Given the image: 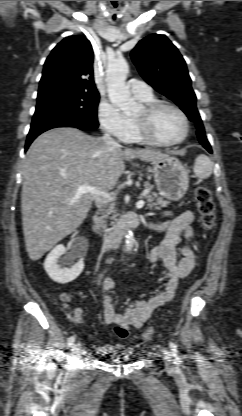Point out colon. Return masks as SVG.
Returning <instances> with one entry per match:
<instances>
[{"label":"colon","mask_w":242,"mask_h":416,"mask_svg":"<svg viewBox=\"0 0 242 416\" xmlns=\"http://www.w3.org/2000/svg\"><path fill=\"white\" fill-rule=\"evenodd\" d=\"M195 200L198 213L200 215V223L204 230L209 231L215 224V206L211 197V193L205 186H198L195 190ZM115 332L120 337L128 336V329L122 325L115 326ZM153 328L145 330L142 334L144 340H151L154 337Z\"/></svg>","instance_id":"obj_1"}]
</instances>
